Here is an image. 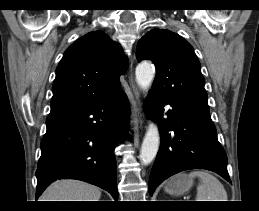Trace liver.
Wrapping results in <instances>:
<instances>
[{
	"label": "liver",
	"instance_id": "liver-1",
	"mask_svg": "<svg viewBox=\"0 0 259 211\" xmlns=\"http://www.w3.org/2000/svg\"><path fill=\"white\" fill-rule=\"evenodd\" d=\"M100 196V189L86 182L59 180L45 190L40 201H99Z\"/></svg>",
	"mask_w": 259,
	"mask_h": 211
}]
</instances>
